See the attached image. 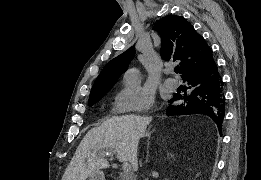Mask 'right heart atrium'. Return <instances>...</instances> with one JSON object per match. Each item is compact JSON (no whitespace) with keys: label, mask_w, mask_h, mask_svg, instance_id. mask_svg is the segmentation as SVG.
I'll return each mask as SVG.
<instances>
[{"label":"right heart atrium","mask_w":261,"mask_h":180,"mask_svg":"<svg viewBox=\"0 0 261 180\" xmlns=\"http://www.w3.org/2000/svg\"><path fill=\"white\" fill-rule=\"evenodd\" d=\"M115 99L122 106L121 112H150L155 104L154 92L140 85L119 90Z\"/></svg>","instance_id":"right-heart-atrium-1"}]
</instances>
